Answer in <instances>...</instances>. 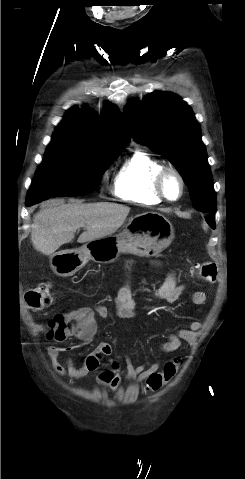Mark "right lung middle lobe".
<instances>
[{"instance_id":"dd1d6c3e","label":"right lung middle lobe","mask_w":245,"mask_h":479,"mask_svg":"<svg viewBox=\"0 0 245 479\" xmlns=\"http://www.w3.org/2000/svg\"><path fill=\"white\" fill-rule=\"evenodd\" d=\"M120 153L121 150L90 148L77 141L52 138L31 183L26 203L91 193L109 163Z\"/></svg>"}]
</instances>
